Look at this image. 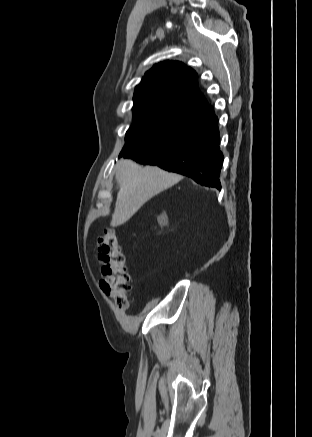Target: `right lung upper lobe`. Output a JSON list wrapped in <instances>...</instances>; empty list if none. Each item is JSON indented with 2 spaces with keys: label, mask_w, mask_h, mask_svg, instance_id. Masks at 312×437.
I'll list each match as a JSON object with an SVG mask.
<instances>
[{
  "label": "right lung upper lobe",
  "mask_w": 312,
  "mask_h": 437,
  "mask_svg": "<svg viewBox=\"0 0 312 437\" xmlns=\"http://www.w3.org/2000/svg\"><path fill=\"white\" fill-rule=\"evenodd\" d=\"M133 101V108L167 105L198 114L211 108L198 90L196 72L178 61L161 62L146 72Z\"/></svg>",
  "instance_id": "right-lung-upper-lobe-1"
}]
</instances>
